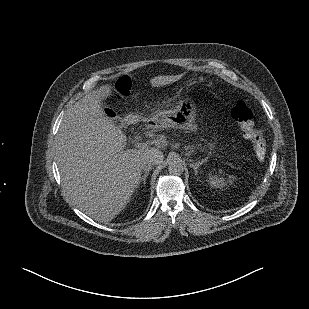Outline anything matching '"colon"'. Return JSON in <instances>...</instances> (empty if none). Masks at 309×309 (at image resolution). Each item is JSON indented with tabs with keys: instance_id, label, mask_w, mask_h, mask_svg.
Wrapping results in <instances>:
<instances>
[{
	"instance_id": "obj_1",
	"label": "colon",
	"mask_w": 309,
	"mask_h": 309,
	"mask_svg": "<svg viewBox=\"0 0 309 309\" xmlns=\"http://www.w3.org/2000/svg\"><path fill=\"white\" fill-rule=\"evenodd\" d=\"M132 85L133 81L130 77H120L114 85L117 94L112 99L113 102L128 96ZM231 116L240 125L244 136L253 143L257 157L264 159L267 150L266 141L262 132L255 126L253 113L248 105L243 101H238L231 111Z\"/></svg>"
}]
</instances>
